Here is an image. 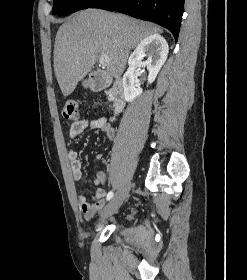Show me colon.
Segmentation results:
<instances>
[{
    "label": "colon",
    "instance_id": "obj_1",
    "mask_svg": "<svg viewBox=\"0 0 247 280\" xmlns=\"http://www.w3.org/2000/svg\"><path fill=\"white\" fill-rule=\"evenodd\" d=\"M63 115L69 120H78L80 118V109L76 101H68L63 109Z\"/></svg>",
    "mask_w": 247,
    "mask_h": 280
}]
</instances>
